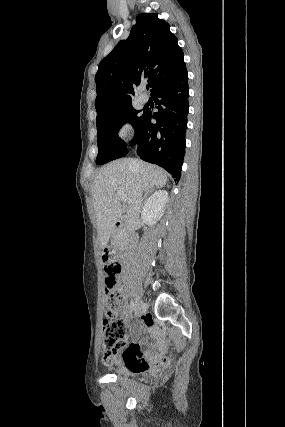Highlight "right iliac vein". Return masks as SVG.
<instances>
[{
  "label": "right iliac vein",
  "mask_w": 285,
  "mask_h": 427,
  "mask_svg": "<svg viewBox=\"0 0 285 427\" xmlns=\"http://www.w3.org/2000/svg\"><path fill=\"white\" fill-rule=\"evenodd\" d=\"M146 309V304L141 300L138 299L137 306L135 309V315L138 317L140 314Z\"/></svg>",
  "instance_id": "right-iliac-vein-1"
}]
</instances>
